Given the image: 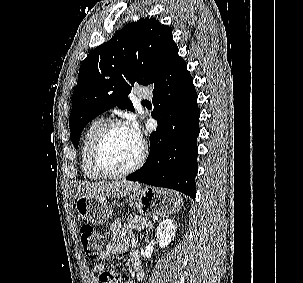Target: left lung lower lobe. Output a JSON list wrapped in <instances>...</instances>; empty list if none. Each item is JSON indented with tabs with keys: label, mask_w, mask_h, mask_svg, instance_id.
I'll list each match as a JSON object with an SVG mask.
<instances>
[{
	"label": "left lung lower lobe",
	"mask_w": 303,
	"mask_h": 283,
	"mask_svg": "<svg viewBox=\"0 0 303 283\" xmlns=\"http://www.w3.org/2000/svg\"><path fill=\"white\" fill-rule=\"evenodd\" d=\"M152 101L158 127L150 135V153L145 164L126 179L195 199L200 112L193 78L182 57H176L154 83Z\"/></svg>",
	"instance_id": "obj_1"
}]
</instances>
